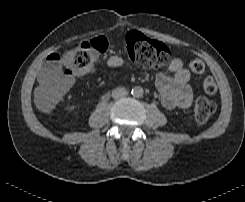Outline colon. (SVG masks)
Masks as SVG:
<instances>
[{
	"label": "colon",
	"mask_w": 245,
	"mask_h": 202,
	"mask_svg": "<svg viewBox=\"0 0 245 202\" xmlns=\"http://www.w3.org/2000/svg\"><path fill=\"white\" fill-rule=\"evenodd\" d=\"M108 46V38L98 36L82 42L66 53L50 55L47 59V74L37 93L38 109L43 113L50 112L69 91L72 77L87 73L97 56L105 53ZM124 46L129 58L142 68H159L171 58V50L167 45L136 32L125 35ZM189 64L195 74L204 72L205 67L201 60L194 58ZM202 86L208 95H213L217 91L212 78H206ZM215 109L216 105L212 100L200 98L192 108L191 116L198 124H204Z\"/></svg>",
	"instance_id": "1"
}]
</instances>
